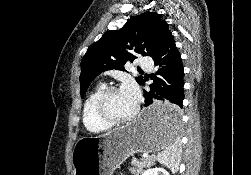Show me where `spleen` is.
Instances as JSON below:
<instances>
[{
    "label": "spleen",
    "instance_id": "obj_1",
    "mask_svg": "<svg viewBox=\"0 0 251 175\" xmlns=\"http://www.w3.org/2000/svg\"><path fill=\"white\" fill-rule=\"evenodd\" d=\"M179 115L177 111H171L165 119H163L162 131L164 137H168L167 147L160 151L157 155V161L164 163L167 167H170L173 173H176L179 169L181 159L182 145L180 141H177L179 137ZM176 141V143H175Z\"/></svg>",
    "mask_w": 251,
    "mask_h": 175
}]
</instances>
